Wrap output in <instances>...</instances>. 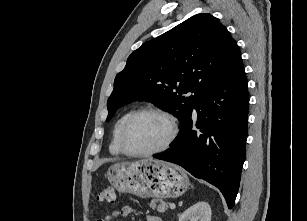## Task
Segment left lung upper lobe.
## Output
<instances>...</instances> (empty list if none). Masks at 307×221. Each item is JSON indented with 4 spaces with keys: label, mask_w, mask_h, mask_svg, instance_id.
<instances>
[{
    "label": "left lung upper lobe",
    "mask_w": 307,
    "mask_h": 221,
    "mask_svg": "<svg viewBox=\"0 0 307 221\" xmlns=\"http://www.w3.org/2000/svg\"><path fill=\"white\" fill-rule=\"evenodd\" d=\"M240 50L211 14H197L142 44L117 74L107 102L110 120L116 110L147 100L185 123L198 101L230 71ZM192 92L193 96L184 94Z\"/></svg>",
    "instance_id": "obj_1"
}]
</instances>
